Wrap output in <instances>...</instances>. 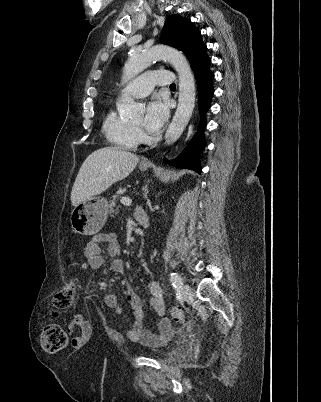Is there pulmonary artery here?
Listing matches in <instances>:
<instances>
[{
  "mask_svg": "<svg viewBox=\"0 0 321 402\" xmlns=\"http://www.w3.org/2000/svg\"><path fill=\"white\" fill-rule=\"evenodd\" d=\"M175 82V75L169 70L146 72L131 81L123 90V96L144 97L155 86H168Z\"/></svg>",
  "mask_w": 321,
  "mask_h": 402,
  "instance_id": "e3ab8cb5",
  "label": "pulmonary artery"
}]
</instances>
